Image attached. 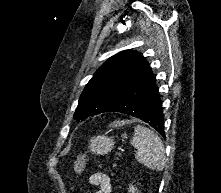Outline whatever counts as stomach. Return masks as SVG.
<instances>
[{"label":"stomach","mask_w":221,"mask_h":193,"mask_svg":"<svg viewBox=\"0 0 221 193\" xmlns=\"http://www.w3.org/2000/svg\"><path fill=\"white\" fill-rule=\"evenodd\" d=\"M114 147L112 137L97 136L90 141V150L98 155L107 154Z\"/></svg>","instance_id":"obj_1"}]
</instances>
